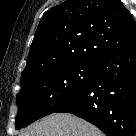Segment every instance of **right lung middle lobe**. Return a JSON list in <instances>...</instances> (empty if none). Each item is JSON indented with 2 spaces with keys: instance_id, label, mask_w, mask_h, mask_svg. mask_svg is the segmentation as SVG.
Returning a JSON list of instances; mask_svg holds the SVG:
<instances>
[{
  "instance_id": "right-lung-middle-lobe-1",
  "label": "right lung middle lobe",
  "mask_w": 136,
  "mask_h": 136,
  "mask_svg": "<svg viewBox=\"0 0 136 136\" xmlns=\"http://www.w3.org/2000/svg\"><path fill=\"white\" fill-rule=\"evenodd\" d=\"M96 67L86 63L53 66L22 81L16 129L54 113L80 94L92 81Z\"/></svg>"
}]
</instances>
